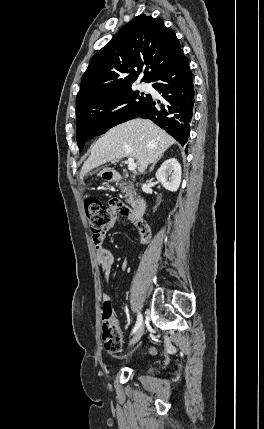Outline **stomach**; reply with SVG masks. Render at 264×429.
Masks as SVG:
<instances>
[{
	"mask_svg": "<svg viewBox=\"0 0 264 429\" xmlns=\"http://www.w3.org/2000/svg\"><path fill=\"white\" fill-rule=\"evenodd\" d=\"M102 176L107 180V181H114L115 180V177H116V174H115V172L114 171H104L103 173H102Z\"/></svg>",
	"mask_w": 264,
	"mask_h": 429,
	"instance_id": "obj_1",
	"label": "stomach"
}]
</instances>
